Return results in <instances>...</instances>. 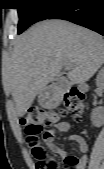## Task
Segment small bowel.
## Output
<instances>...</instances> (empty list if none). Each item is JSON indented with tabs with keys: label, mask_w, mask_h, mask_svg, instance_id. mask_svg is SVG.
Masks as SVG:
<instances>
[{
	"label": "small bowel",
	"mask_w": 104,
	"mask_h": 169,
	"mask_svg": "<svg viewBox=\"0 0 104 169\" xmlns=\"http://www.w3.org/2000/svg\"><path fill=\"white\" fill-rule=\"evenodd\" d=\"M55 129L56 131L61 132V133L68 132L70 130V124L68 122H59L58 124L55 125ZM44 141L48 143L49 145L53 146V135L51 136L45 135ZM70 144H76L79 151L83 153V156L80 159H78V163L75 166V168L85 169V166L87 163L86 153L88 151V145H87L86 140L80 134L70 135L65 145L60 148H57L59 154L65 159L67 158V148Z\"/></svg>",
	"instance_id": "small-bowel-1"
}]
</instances>
